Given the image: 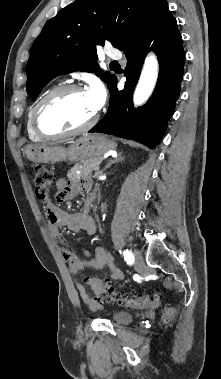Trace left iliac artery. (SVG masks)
Returning <instances> with one entry per match:
<instances>
[{
	"mask_svg": "<svg viewBox=\"0 0 221 379\" xmlns=\"http://www.w3.org/2000/svg\"><path fill=\"white\" fill-rule=\"evenodd\" d=\"M123 256L127 264H132L134 262V256L130 250L128 249L124 250Z\"/></svg>",
	"mask_w": 221,
	"mask_h": 379,
	"instance_id": "44dca946",
	"label": "left iliac artery"
}]
</instances>
